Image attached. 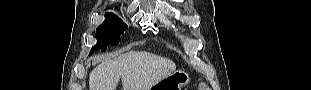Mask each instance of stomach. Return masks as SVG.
<instances>
[{
    "instance_id": "1",
    "label": "stomach",
    "mask_w": 311,
    "mask_h": 90,
    "mask_svg": "<svg viewBox=\"0 0 311 90\" xmlns=\"http://www.w3.org/2000/svg\"><path fill=\"white\" fill-rule=\"evenodd\" d=\"M190 80L189 73L179 69L152 86L150 90H182L190 84Z\"/></svg>"
}]
</instances>
